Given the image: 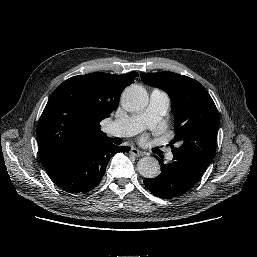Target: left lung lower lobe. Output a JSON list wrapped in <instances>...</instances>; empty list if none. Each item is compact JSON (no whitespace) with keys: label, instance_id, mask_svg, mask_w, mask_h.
<instances>
[{"label":"left lung lower lobe","instance_id":"left-lung-lower-lobe-1","mask_svg":"<svg viewBox=\"0 0 257 257\" xmlns=\"http://www.w3.org/2000/svg\"><path fill=\"white\" fill-rule=\"evenodd\" d=\"M173 161L161 163V174L144 184L157 197L171 199L186 193L204 174L211 162L189 152L172 151Z\"/></svg>","mask_w":257,"mask_h":257}]
</instances>
